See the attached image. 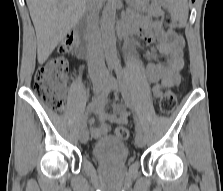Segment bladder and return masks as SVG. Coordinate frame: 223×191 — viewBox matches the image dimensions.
<instances>
[{"label":"bladder","mask_w":223,"mask_h":191,"mask_svg":"<svg viewBox=\"0 0 223 191\" xmlns=\"http://www.w3.org/2000/svg\"><path fill=\"white\" fill-rule=\"evenodd\" d=\"M92 155L98 161L115 164L126 161L129 150L122 139L114 135H108L94 144Z\"/></svg>","instance_id":"obj_1"}]
</instances>
